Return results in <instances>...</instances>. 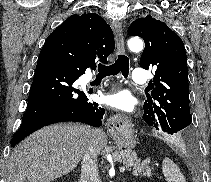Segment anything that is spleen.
<instances>
[{
  "mask_svg": "<svg viewBox=\"0 0 211 182\" xmlns=\"http://www.w3.org/2000/svg\"><path fill=\"white\" fill-rule=\"evenodd\" d=\"M162 172L167 182H186L179 167L168 157L162 162Z\"/></svg>",
  "mask_w": 211,
  "mask_h": 182,
  "instance_id": "1",
  "label": "spleen"
}]
</instances>
